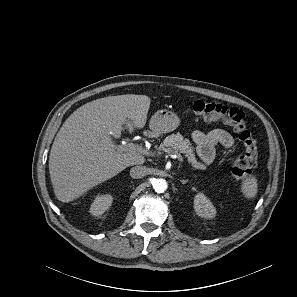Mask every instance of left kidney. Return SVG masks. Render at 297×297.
<instances>
[{
    "label": "left kidney",
    "mask_w": 297,
    "mask_h": 297,
    "mask_svg": "<svg viewBox=\"0 0 297 297\" xmlns=\"http://www.w3.org/2000/svg\"><path fill=\"white\" fill-rule=\"evenodd\" d=\"M194 209L198 216L212 219L215 217L216 209L210 200L203 194L198 193L194 198Z\"/></svg>",
    "instance_id": "left-kidney-1"
}]
</instances>
